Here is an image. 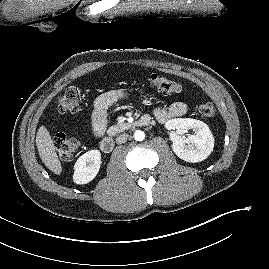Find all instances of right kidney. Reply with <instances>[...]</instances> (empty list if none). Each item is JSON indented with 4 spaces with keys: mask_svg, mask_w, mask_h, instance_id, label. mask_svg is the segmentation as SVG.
Returning a JSON list of instances; mask_svg holds the SVG:
<instances>
[{
    "mask_svg": "<svg viewBox=\"0 0 269 269\" xmlns=\"http://www.w3.org/2000/svg\"><path fill=\"white\" fill-rule=\"evenodd\" d=\"M101 153L99 150H90L81 155L74 165L73 181L76 184H87L99 172Z\"/></svg>",
    "mask_w": 269,
    "mask_h": 269,
    "instance_id": "obj_1",
    "label": "right kidney"
}]
</instances>
